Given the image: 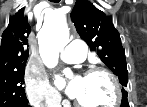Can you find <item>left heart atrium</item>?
Masks as SVG:
<instances>
[{"instance_id":"left-heart-atrium-1","label":"left heart atrium","mask_w":147,"mask_h":107,"mask_svg":"<svg viewBox=\"0 0 147 107\" xmlns=\"http://www.w3.org/2000/svg\"><path fill=\"white\" fill-rule=\"evenodd\" d=\"M82 79L83 78L78 77L69 84L66 92L71 98H76L80 93L82 87Z\"/></svg>"}]
</instances>
